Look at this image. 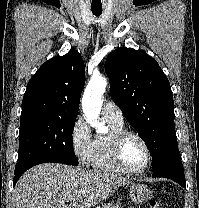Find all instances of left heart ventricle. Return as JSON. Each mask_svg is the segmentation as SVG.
<instances>
[{"label":"left heart ventricle","instance_id":"left-heart-ventricle-1","mask_svg":"<svg viewBox=\"0 0 199 208\" xmlns=\"http://www.w3.org/2000/svg\"><path fill=\"white\" fill-rule=\"evenodd\" d=\"M122 157L131 169H138L143 166L147 160V153L143 144L134 137H129L123 144Z\"/></svg>","mask_w":199,"mask_h":208}]
</instances>
